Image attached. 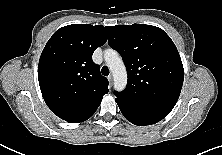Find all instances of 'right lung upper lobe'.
Masks as SVG:
<instances>
[{
    "instance_id": "right-lung-upper-lobe-1",
    "label": "right lung upper lobe",
    "mask_w": 222,
    "mask_h": 155,
    "mask_svg": "<svg viewBox=\"0 0 222 155\" xmlns=\"http://www.w3.org/2000/svg\"><path fill=\"white\" fill-rule=\"evenodd\" d=\"M107 41L102 25L73 24L57 30L45 45L38 65L43 98L51 111L70 123L90 118L108 93V81L92 61Z\"/></svg>"
}]
</instances>
